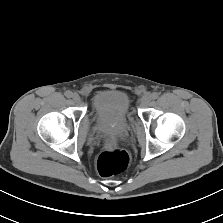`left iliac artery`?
<instances>
[{
  "instance_id": "1",
  "label": "left iliac artery",
  "mask_w": 223,
  "mask_h": 223,
  "mask_svg": "<svg viewBox=\"0 0 223 223\" xmlns=\"http://www.w3.org/2000/svg\"><path fill=\"white\" fill-rule=\"evenodd\" d=\"M158 97H159V93H157V92H153V93L151 94V98H152L153 100L157 99Z\"/></svg>"
}]
</instances>
